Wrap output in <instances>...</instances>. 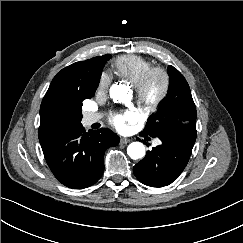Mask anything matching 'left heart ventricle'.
Listing matches in <instances>:
<instances>
[{
  "mask_svg": "<svg viewBox=\"0 0 243 243\" xmlns=\"http://www.w3.org/2000/svg\"><path fill=\"white\" fill-rule=\"evenodd\" d=\"M161 87V78L159 76H156L151 84V93L156 94Z\"/></svg>",
  "mask_w": 243,
  "mask_h": 243,
  "instance_id": "1",
  "label": "left heart ventricle"
}]
</instances>
